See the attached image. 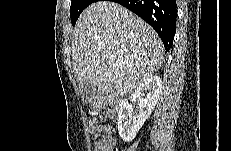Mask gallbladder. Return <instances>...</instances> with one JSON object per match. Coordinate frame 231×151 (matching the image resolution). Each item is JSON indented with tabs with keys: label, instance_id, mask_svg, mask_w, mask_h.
<instances>
[{
	"label": "gallbladder",
	"instance_id": "bac80fb5",
	"mask_svg": "<svg viewBox=\"0 0 231 151\" xmlns=\"http://www.w3.org/2000/svg\"><path fill=\"white\" fill-rule=\"evenodd\" d=\"M96 86L92 81H85L82 89V99L85 103H92L96 99Z\"/></svg>",
	"mask_w": 231,
	"mask_h": 151
}]
</instances>
